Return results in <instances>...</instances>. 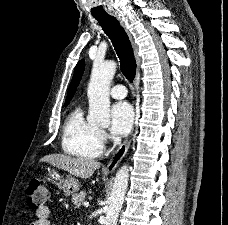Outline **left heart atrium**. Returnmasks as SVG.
Masks as SVG:
<instances>
[{"label": "left heart atrium", "instance_id": "39dd6f15", "mask_svg": "<svg viewBox=\"0 0 228 225\" xmlns=\"http://www.w3.org/2000/svg\"><path fill=\"white\" fill-rule=\"evenodd\" d=\"M132 107L124 101L115 103L110 109V130L114 136H126L133 124Z\"/></svg>", "mask_w": 228, "mask_h": 225}]
</instances>
